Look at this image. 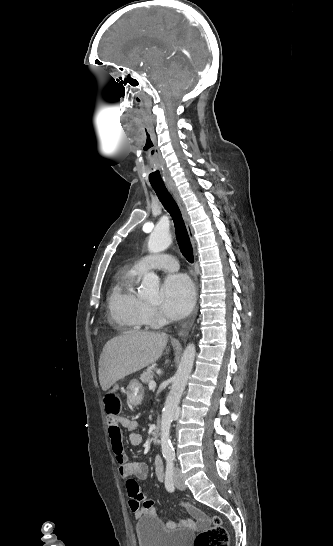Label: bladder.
I'll list each match as a JSON object with an SVG mask.
<instances>
[{
	"instance_id": "31cf9c89",
	"label": "bladder",
	"mask_w": 333,
	"mask_h": 546,
	"mask_svg": "<svg viewBox=\"0 0 333 546\" xmlns=\"http://www.w3.org/2000/svg\"><path fill=\"white\" fill-rule=\"evenodd\" d=\"M140 546H191L193 533L190 530H168L155 516L143 515L135 525Z\"/></svg>"
}]
</instances>
